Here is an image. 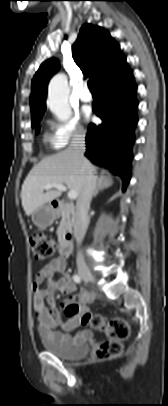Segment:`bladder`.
I'll return each instance as SVG.
<instances>
[{"instance_id":"1","label":"bladder","mask_w":168,"mask_h":406,"mask_svg":"<svg viewBox=\"0 0 168 406\" xmlns=\"http://www.w3.org/2000/svg\"><path fill=\"white\" fill-rule=\"evenodd\" d=\"M42 344L48 353L66 360H76L85 357L89 352L86 342L74 343L72 345H62L42 337Z\"/></svg>"}]
</instances>
